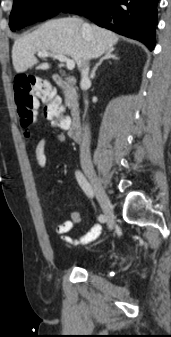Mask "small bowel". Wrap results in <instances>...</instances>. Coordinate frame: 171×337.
<instances>
[{"instance_id": "c3829d8e", "label": "small bowel", "mask_w": 171, "mask_h": 337, "mask_svg": "<svg viewBox=\"0 0 171 337\" xmlns=\"http://www.w3.org/2000/svg\"><path fill=\"white\" fill-rule=\"evenodd\" d=\"M54 141L64 143L66 141V135L63 132H56L51 137ZM48 142L47 137L41 138L35 146L34 156L35 161L39 168H45L48 163L46 154V145ZM82 220V214L80 212H73L70 220L58 221L54 225V232L61 237L62 242L71 246L86 245L101 235L102 227L99 224L93 225L85 234L80 237H71L68 233L72 230L75 224L80 223Z\"/></svg>"}]
</instances>
